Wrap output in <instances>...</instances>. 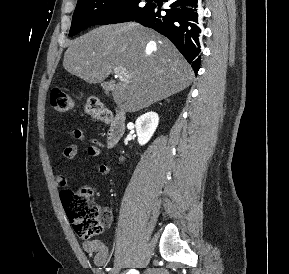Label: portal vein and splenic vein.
Wrapping results in <instances>:
<instances>
[{
	"label": "portal vein and splenic vein",
	"instance_id": "1",
	"mask_svg": "<svg viewBox=\"0 0 289 274\" xmlns=\"http://www.w3.org/2000/svg\"><path fill=\"white\" fill-rule=\"evenodd\" d=\"M114 73H115V75L117 77H119V79L121 81L124 80L127 77V75L125 73V69L123 67H121V66L115 67L114 68Z\"/></svg>",
	"mask_w": 289,
	"mask_h": 274
}]
</instances>
